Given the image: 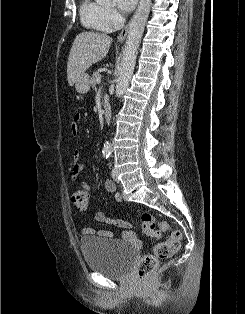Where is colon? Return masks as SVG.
I'll list each match as a JSON object with an SVG mask.
<instances>
[{
	"label": "colon",
	"instance_id": "obj_1",
	"mask_svg": "<svg viewBox=\"0 0 245 314\" xmlns=\"http://www.w3.org/2000/svg\"><path fill=\"white\" fill-rule=\"evenodd\" d=\"M72 203L80 208L85 209L89 202V193L84 189L73 191L71 195ZM141 230L149 237L158 240L164 232H171L168 240L158 241L153 252L144 255L137 266L138 276L145 280L157 267L159 259L172 257L180 248L182 234L178 230H172L170 224L165 220L157 219L153 214L144 212L142 214Z\"/></svg>",
	"mask_w": 245,
	"mask_h": 314
}]
</instances>
